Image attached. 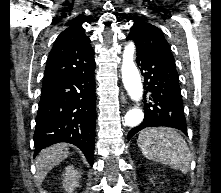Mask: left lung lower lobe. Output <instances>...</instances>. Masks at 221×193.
<instances>
[{
    "instance_id": "1",
    "label": "left lung lower lobe",
    "mask_w": 221,
    "mask_h": 193,
    "mask_svg": "<svg viewBox=\"0 0 221 193\" xmlns=\"http://www.w3.org/2000/svg\"><path fill=\"white\" fill-rule=\"evenodd\" d=\"M137 51L136 63L145 78L144 119L128 133V140L146 127L167 126L187 134L179 78L175 64Z\"/></svg>"
}]
</instances>
